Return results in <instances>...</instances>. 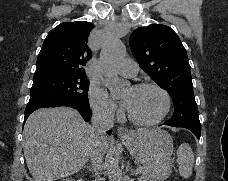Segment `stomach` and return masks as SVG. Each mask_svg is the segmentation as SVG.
<instances>
[{
    "label": "stomach",
    "instance_id": "obj_1",
    "mask_svg": "<svg viewBox=\"0 0 228 181\" xmlns=\"http://www.w3.org/2000/svg\"><path fill=\"white\" fill-rule=\"evenodd\" d=\"M133 159L147 169L146 181H166L172 173L173 141L163 129H136L119 135Z\"/></svg>",
    "mask_w": 228,
    "mask_h": 181
}]
</instances>
